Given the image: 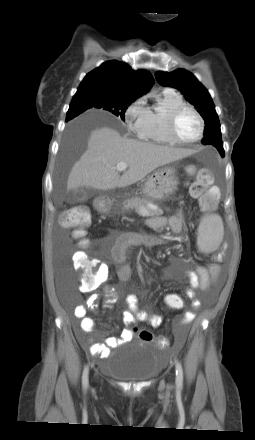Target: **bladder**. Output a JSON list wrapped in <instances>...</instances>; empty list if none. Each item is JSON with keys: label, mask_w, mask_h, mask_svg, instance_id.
Listing matches in <instances>:
<instances>
[{"label": "bladder", "mask_w": 255, "mask_h": 440, "mask_svg": "<svg viewBox=\"0 0 255 440\" xmlns=\"http://www.w3.org/2000/svg\"><path fill=\"white\" fill-rule=\"evenodd\" d=\"M157 370L156 348L138 343L113 360L110 375L124 382H143L154 378Z\"/></svg>", "instance_id": "obj_1"}]
</instances>
